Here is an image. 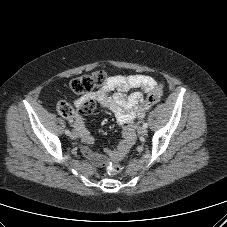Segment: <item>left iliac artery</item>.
<instances>
[{
	"instance_id": "obj_1",
	"label": "left iliac artery",
	"mask_w": 227,
	"mask_h": 227,
	"mask_svg": "<svg viewBox=\"0 0 227 227\" xmlns=\"http://www.w3.org/2000/svg\"><path fill=\"white\" fill-rule=\"evenodd\" d=\"M143 127L147 128L148 124L147 123H143Z\"/></svg>"
}]
</instances>
